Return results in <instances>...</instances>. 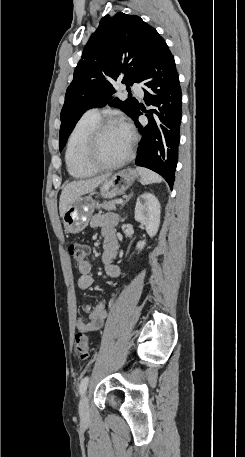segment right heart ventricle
Returning a JSON list of instances; mask_svg holds the SVG:
<instances>
[{"label": "right heart ventricle", "mask_w": 245, "mask_h": 457, "mask_svg": "<svg viewBox=\"0 0 245 457\" xmlns=\"http://www.w3.org/2000/svg\"><path fill=\"white\" fill-rule=\"evenodd\" d=\"M100 121L98 116L85 114L73 127L67 142L66 163L69 173L75 178H84L91 171L79 163V153L83 149L91 128ZM88 150V153L89 154Z\"/></svg>", "instance_id": "e07e8e85"}]
</instances>
